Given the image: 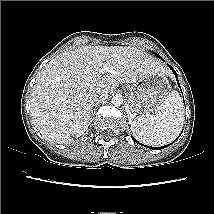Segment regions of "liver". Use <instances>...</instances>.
<instances>
[{
  "label": "liver",
  "instance_id": "obj_1",
  "mask_svg": "<svg viewBox=\"0 0 214 214\" xmlns=\"http://www.w3.org/2000/svg\"><path fill=\"white\" fill-rule=\"evenodd\" d=\"M107 64L112 72L102 74ZM154 72H166L161 61L131 46H85L52 59L35 81L31 116L40 134L68 143L88 129L93 113L89 95L107 93L119 83H134Z\"/></svg>",
  "mask_w": 214,
  "mask_h": 214
}]
</instances>
